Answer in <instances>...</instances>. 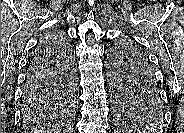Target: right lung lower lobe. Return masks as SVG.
Instances as JSON below:
<instances>
[{
  "mask_svg": "<svg viewBox=\"0 0 184 133\" xmlns=\"http://www.w3.org/2000/svg\"><path fill=\"white\" fill-rule=\"evenodd\" d=\"M63 46L53 37L45 36L28 61L23 100H48L62 75ZM71 54V53H70Z\"/></svg>",
  "mask_w": 184,
  "mask_h": 133,
  "instance_id": "right-lung-lower-lobe-1",
  "label": "right lung lower lobe"
}]
</instances>
